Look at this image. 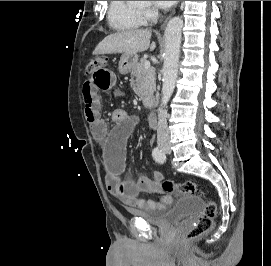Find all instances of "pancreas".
Instances as JSON below:
<instances>
[{
	"mask_svg": "<svg viewBox=\"0 0 271 266\" xmlns=\"http://www.w3.org/2000/svg\"><path fill=\"white\" fill-rule=\"evenodd\" d=\"M146 62V58H142L131 70V76L136 78L131 82L133 90L141 98L152 95L156 87L155 70L152 67L145 69Z\"/></svg>",
	"mask_w": 271,
	"mask_h": 266,
	"instance_id": "obj_1",
	"label": "pancreas"
}]
</instances>
